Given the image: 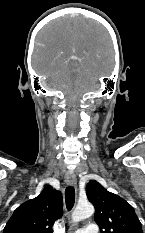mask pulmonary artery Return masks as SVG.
Returning a JSON list of instances; mask_svg holds the SVG:
<instances>
[{"label": "pulmonary artery", "instance_id": "e3ab8cb5", "mask_svg": "<svg viewBox=\"0 0 145 233\" xmlns=\"http://www.w3.org/2000/svg\"><path fill=\"white\" fill-rule=\"evenodd\" d=\"M75 233H99V230L95 223H89L86 228L78 229Z\"/></svg>", "mask_w": 145, "mask_h": 233}]
</instances>
